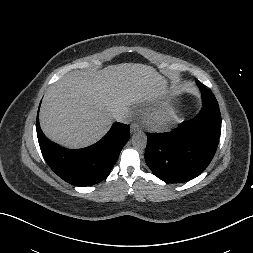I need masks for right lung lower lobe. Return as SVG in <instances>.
Listing matches in <instances>:
<instances>
[{
	"instance_id": "right-lung-lower-lobe-1",
	"label": "right lung lower lobe",
	"mask_w": 253,
	"mask_h": 253,
	"mask_svg": "<svg viewBox=\"0 0 253 253\" xmlns=\"http://www.w3.org/2000/svg\"><path fill=\"white\" fill-rule=\"evenodd\" d=\"M36 129L40 149L49 167L75 186H91L104 180L130 136L128 125L116 122L96 144L83 149H66L44 136L38 115Z\"/></svg>"
}]
</instances>
